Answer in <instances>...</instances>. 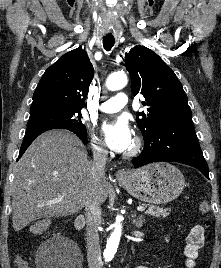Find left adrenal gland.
Returning a JSON list of instances; mask_svg holds the SVG:
<instances>
[{"mask_svg": "<svg viewBox=\"0 0 221 268\" xmlns=\"http://www.w3.org/2000/svg\"><path fill=\"white\" fill-rule=\"evenodd\" d=\"M131 218H132V223L137 227V228H141L143 226V223L145 222L143 215H139L136 218V213H132L131 214Z\"/></svg>", "mask_w": 221, "mask_h": 268, "instance_id": "obj_1", "label": "left adrenal gland"}]
</instances>
